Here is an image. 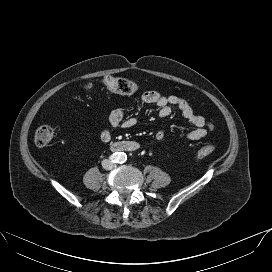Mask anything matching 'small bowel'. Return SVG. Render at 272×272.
<instances>
[{
  "label": "small bowel",
  "mask_w": 272,
  "mask_h": 272,
  "mask_svg": "<svg viewBox=\"0 0 272 272\" xmlns=\"http://www.w3.org/2000/svg\"><path fill=\"white\" fill-rule=\"evenodd\" d=\"M140 100L144 104H155L159 109V116L162 118L169 117L174 109H177L181 115L187 119L195 128L187 132L186 137L189 140H200L213 130V124L208 122L202 115L194 112L189 103L174 95H164L156 91L144 92ZM137 119L127 117L123 108H115L107 121L106 127L101 131L100 138L103 142H109L113 135V130L118 127L131 128L135 126ZM157 142L165 140L164 130H158L155 134Z\"/></svg>",
  "instance_id": "c3829d8e"
}]
</instances>
